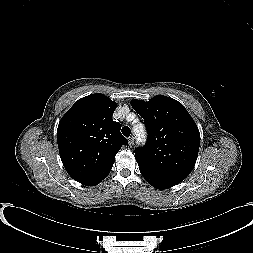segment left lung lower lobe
<instances>
[{"label":"left lung lower lobe","mask_w":253,"mask_h":253,"mask_svg":"<svg viewBox=\"0 0 253 253\" xmlns=\"http://www.w3.org/2000/svg\"><path fill=\"white\" fill-rule=\"evenodd\" d=\"M141 172V171H140ZM142 176L145 178V180L151 185L153 186L154 188H157V189H168L174 185H171L169 183H166V182H163L161 180H158L156 178H153L149 175H147L146 173L144 172H141Z\"/></svg>","instance_id":"1"}]
</instances>
